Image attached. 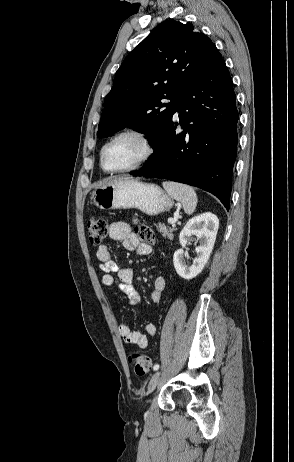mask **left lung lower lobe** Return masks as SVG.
<instances>
[{
    "instance_id": "obj_1",
    "label": "left lung lower lobe",
    "mask_w": 294,
    "mask_h": 462,
    "mask_svg": "<svg viewBox=\"0 0 294 462\" xmlns=\"http://www.w3.org/2000/svg\"><path fill=\"white\" fill-rule=\"evenodd\" d=\"M176 111L144 167L134 176L169 179L214 194L229 209L236 158L238 111L232 79L220 59L185 89ZM175 111V112H176ZM181 125L183 132L175 133Z\"/></svg>"
}]
</instances>
